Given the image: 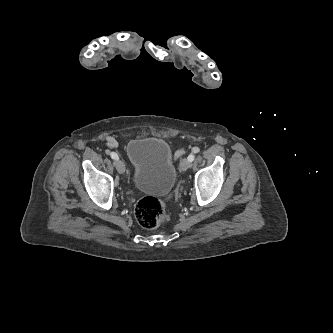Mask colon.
I'll list each match as a JSON object with an SVG mask.
<instances>
[{"instance_id": "5ec220e1", "label": "colon", "mask_w": 333, "mask_h": 333, "mask_svg": "<svg viewBox=\"0 0 333 333\" xmlns=\"http://www.w3.org/2000/svg\"><path fill=\"white\" fill-rule=\"evenodd\" d=\"M137 222L144 228H155L169 219L165 205L154 196L141 198L135 208Z\"/></svg>"}]
</instances>
